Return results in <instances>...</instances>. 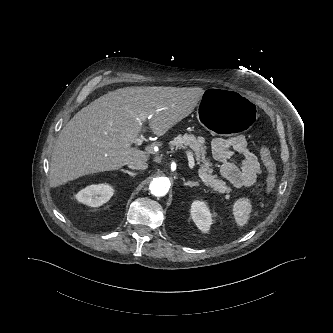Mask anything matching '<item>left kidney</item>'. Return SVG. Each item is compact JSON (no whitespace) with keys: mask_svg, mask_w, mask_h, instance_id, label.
<instances>
[{"mask_svg":"<svg viewBox=\"0 0 333 333\" xmlns=\"http://www.w3.org/2000/svg\"><path fill=\"white\" fill-rule=\"evenodd\" d=\"M190 215L196 226L203 232H208L212 224L211 213L203 201H194L191 205Z\"/></svg>","mask_w":333,"mask_h":333,"instance_id":"left-kidney-1","label":"left kidney"}]
</instances>
